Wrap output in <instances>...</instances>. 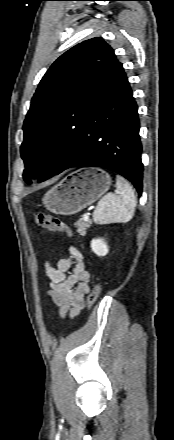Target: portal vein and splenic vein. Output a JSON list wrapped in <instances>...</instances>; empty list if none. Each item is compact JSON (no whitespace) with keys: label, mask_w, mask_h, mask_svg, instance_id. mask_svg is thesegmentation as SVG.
<instances>
[{"label":"portal vein and splenic vein","mask_w":174,"mask_h":440,"mask_svg":"<svg viewBox=\"0 0 174 440\" xmlns=\"http://www.w3.org/2000/svg\"><path fill=\"white\" fill-rule=\"evenodd\" d=\"M83 219H84V221H88V220H89V214H88V213L85 214L84 217H83Z\"/></svg>","instance_id":"obj_1"}]
</instances>
